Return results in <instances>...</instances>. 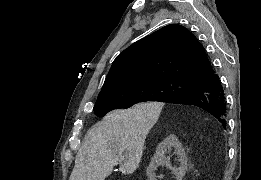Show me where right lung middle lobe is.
I'll use <instances>...</instances> for the list:
<instances>
[{
    "label": "right lung middle lobe",
    "instance_id": "obj_1",
    "mask_svg": "<svg viewBox=\"0 0 261 180\" xmlns=\"http://www.w3.org/2000/svg\"><path fill=\"white\" fill-rule=\"evenodd\" d=\"M197 84V82L174 79L127 86L98 96L94 112L102 117L109 111L126 109L139 102H166L172 97L194 90Z\"/></svg>",
    "mask_w": 261,
    "mask_h": 180
}]
</instances>
